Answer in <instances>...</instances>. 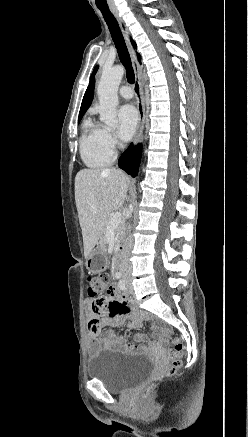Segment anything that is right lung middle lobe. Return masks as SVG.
<instances>
[{"mask_svg": "<svg viewBox=\"0 0 248 437\" xmlns=\"http://www.w3.org/2000/svg\"><path fill=\"white\" fill-rule=\"evenodd\" d=\"M81 118H82V116H79V119H78V121H80V120H81Z\"/></svg>", "mask_w": 248, "mask_h": 437, "instance_id": "right-lung-middle-lobe-1", "label": "right lung middle lobe"}]
</instances>
